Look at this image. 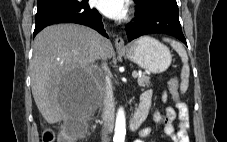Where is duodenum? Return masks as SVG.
I'll return each mask as SVG.
<instances>
[{
    "instance_id": "410a0bca",
    "label": "duodenum",
    "mask_w": 227,
    "mask_h": 142,
    "mask_svg": "<svg viewBox=\"0 0 227 142\" xmlns=\"http://www.w3.org/2000/svg\"><path fill=\"white\" fill-rule=\"evenodd\" d=\"M148 115V106L140 102L134 115L129 120V128L132 131L137 130ZM105 128L109 130L114 122V115L111 111L105 112Z\"/></svg>"
}]
</instances>
